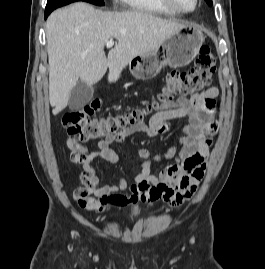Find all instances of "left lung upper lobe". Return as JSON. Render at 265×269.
Listing matches in <instances>:
<instances>
[{"instance_id": "5c2ea615", "label": "left lung upper lobe", "mask_w": 265, "mask_h": 269, "mask_svg": "<svg viewBox=\"0 0 265 269\" xmlns=\"http://www.w3.org/2000/svg\"><path fill=\"white\" fill-rule=\"evenodd\" d=\"M209 6L212 5V0H205Z\"/></svg>"}]
</instances>
